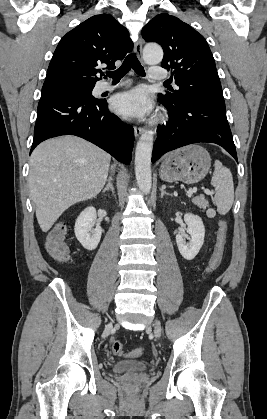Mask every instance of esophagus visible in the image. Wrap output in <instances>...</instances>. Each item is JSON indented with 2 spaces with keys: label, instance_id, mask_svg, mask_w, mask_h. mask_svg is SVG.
Masks as SVG:
<instances>
[{
  "label": "esophagus",
  "instance_id": "34e87169",
  "mask_svg": "<svg viewBox=\"0 0 267 419\" xmlns=\"http://www.w3.org/2000/svg\"><path fill=\"white\" fill-rule=\"evenodd\" d=\"M134 51L138 58L142 56V40L139 39L134 45ZM144 132L143 127H134V133L136 137H139Z\"/></svg>",
  "mask_w": 267,
  "mask_h": 419
}]
</instances>
